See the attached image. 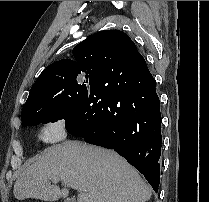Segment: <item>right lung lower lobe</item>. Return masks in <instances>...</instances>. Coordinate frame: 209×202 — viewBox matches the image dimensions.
<instances>
[{
    "label": "right lung lower lobe",
    "mask_w": 209,
    "mask_h": 202,
    "mask_svg": "<svg viewBox=\"0 0 209 202\" xmlns=\"http://www.w3.org/2000/svg\"><path fill=\"white\" fill-rule=\"evenodd\" d=\"M155 86L144 58L131 60L125 73L97 78L81 111L65 128L87 143L115 150L158 192L162 118Z\"/></svg>",
    "instance_id": "right-lung-lower-lobe-1"
}]
</instances>
